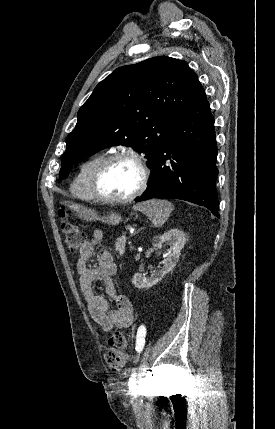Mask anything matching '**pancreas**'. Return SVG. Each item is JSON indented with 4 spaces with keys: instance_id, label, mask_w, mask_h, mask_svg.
Returning <instances> with one entry per match:
<instances>
[{
    "instance_id": "pancreas-1",
    "label": "pancreas",
    "mask_w": 275,
    "mask_h": 429,
    "mask_svg": "<svg viewBox=\"0 0 275 429\" xmlns=\"http://www.w3.org/2000/svg\"><path fill=\"white\" fill-rule=\"evenodd\" d=\"M125 243H126L125 235L120 236L115 243V249L116 251L119 252L120 255H123L125 252Z\"/></svg>"
}]
</instances>
